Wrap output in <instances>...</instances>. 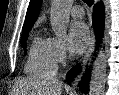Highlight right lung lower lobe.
I'll list each match as a JSON object with an SVG mask.
<instances>
[{"mask_svg":"<svg viewBox=\"0 0 119 95\" xmlns=\"http://www.w3.org/2000/svg\"><path fill=\"white\" fill-rule=\"evenodd\" d=\"M104 7L102 3H98L93 8V26L95 33L97 35V42L99 43L104 29ZM80 70L79 64L74 66L67 74V79L69 82L73 80V77ZM87 79L88 76L83 77L82 82L80 83V90L84 93L87 92Z\"/></svg>","mask_w":119,"mask_h":95,"instance_id":"right-lung-lower-lobe-1","label":"right lung lower lobe"}]
</instances>
